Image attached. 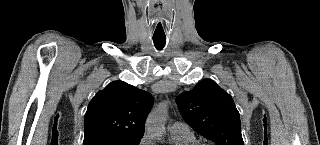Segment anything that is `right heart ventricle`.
Returning <instances> with one entry per match:
<instances>
[{"label":"right heart ventricle","instance_id":"right-heart-ventricle-1","mask_svg":"<svg viewBox=\"0 0 320 145\" xmlns=\"http://www.w3.org/2000/svg\"><path fill=\"white\" fill-rule=\"evenodd\" d=\"M174 145H194L198 141L193 133L188 134H171Z\"/></svg>","mask_w":320,"mask_h":145}]
</instances>
